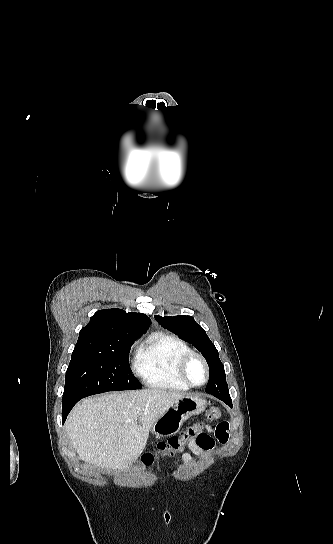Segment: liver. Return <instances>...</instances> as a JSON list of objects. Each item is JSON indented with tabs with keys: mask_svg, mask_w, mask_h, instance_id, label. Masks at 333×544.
Segmentation results:
<instances>
[{
	"mask_svg": "<svg viewBox=\"0 0 333 544\" xmlns=\"http://www.w3.org/2000/svg\"><path fill=\"white\" fill-rule=\"evenodd\" d=\"M184 397L182 392L153 388L89 397L73 408L66 431L83 461L123 470L144 451L155 422Z\"/></svg>",
	"mask_w": 333,
	"mask_h": 544,
	"instance_id": "obj_1",
	"label": "liver"
}]
</instances>
